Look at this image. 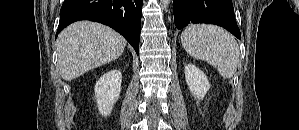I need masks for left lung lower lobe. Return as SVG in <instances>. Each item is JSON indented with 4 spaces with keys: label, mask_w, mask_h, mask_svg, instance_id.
<instances>
[{
    "label": "left lung lower lobe",
    "mask_w": 299,
    "mask_h": 130,
    "mask_svg": "<svg viewBox=\"0 0 299 130\" xmlns=\"http://www.w3.org/2000/svg\"><path fill=\"white\" fill-rule=\"evenodd\" d=\"M174 22L178 29L190 23L219 25L240 38L231 0H173Z\"/></svg>",
    "instance_id": "obj_1"
}]
</instances>
